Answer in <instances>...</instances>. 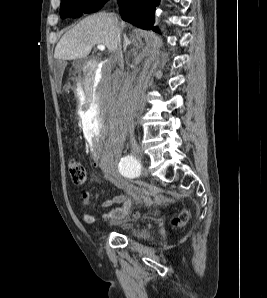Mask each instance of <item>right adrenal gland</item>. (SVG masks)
Instances as JSON below:
<instances>
[{"instance_id":"obj_1","label":"right adrenal gland","mask_w":267,"mask_h":298,"mask_svg":"<svg viewBox=\"0 0 267 298\" xmlns=\"http://www.w3.org/2000/svg\"><path fill=\"white\" fill-rule=\"evenodd\" d=\"M123 37H124V45H123V48H124V51H126L127 46L130 45V44L132 43V41L128 39V37H127L126 34H124Z\"/></svg>"}]
</instances>
